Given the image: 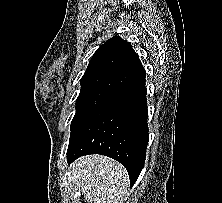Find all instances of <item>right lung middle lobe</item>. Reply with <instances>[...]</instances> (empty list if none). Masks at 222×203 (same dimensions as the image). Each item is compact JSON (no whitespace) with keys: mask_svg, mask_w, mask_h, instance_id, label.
Wrapping results in <instances>:
<instances>
[{"mask_svg":"<svg viewBox=\"0 0 222 203\" xmlns=\"http://www.w3.org/2000/svg\"><path fill=\"white\" fill-rule=\"evenodd\" d=\"M112 95L113 93L102 90H81L76 101V113L71 122V130L106 102Z\"/></svg>","mask_w":222,"mask_h":203,"instance_id":"dd1d6c3e","label":"right lung middle lobe"}]
</instances>
